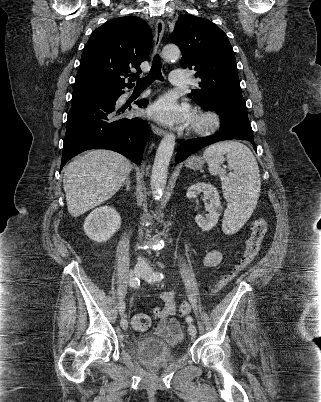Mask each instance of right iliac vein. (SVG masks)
I'll return each instance as SVG.
<instances>
[{
  "instance_id": "63e3f726",
  "label": "right iliac vein",
  "mask_w": 321,
  "mask_h": 402,
  "mask_svg": "<svg viewBox=\"0 0 321 402\" xmlns=\"http://www.w3.org/2000/svg\"><path fill=\"white\" fill-rule=\"evenodd\" d=\"M133 273L137 277H142V275L145 273V268L143 266H136L133 270ZM121 328L123 330H127L128 328V321L125 318L121 319L120 322Z\"/></svg>"
}]
</instances>
